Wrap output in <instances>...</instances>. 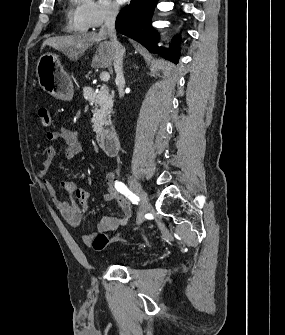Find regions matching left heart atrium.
Returning a JSON list of instances; mask_svg holds the SVG:
<instances>
[{"label": "left heart atrium", "mask_w": 285, "mask_h": 335, "mask_svg": "<svg viewBox=\"0 0 285 335\" xmlns=\"http://www.w3.org/2000/svg\"><path fill=\"white\" fill-rule=\"evenodd\" d=\"M119 3H121V4H124V3H126L127 1H118Z\"/></svg>", "instance_id": "39dd6f15"}]
</instances>
